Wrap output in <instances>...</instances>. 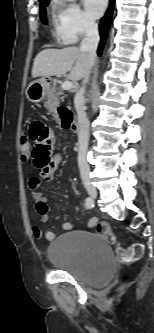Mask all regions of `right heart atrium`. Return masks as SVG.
<instances>
[{
	"label": "right heart atrium",
	"mask_w": 154,
	"mask_h": 333,
	"mask_svg": "<svg viewBox=\"0 0 154 333\" xmlns=\"http://www.w3.org/2000/svg\"><path fill=\"white\" fill-rule=\"evenodd\" d=\"M56 35L65 44L76 43L80 38L93 33L96 24L71 0H60L57 6Z\"/></svg>",
	"instance_id": "d8ad5b80"
}]
</instances>
